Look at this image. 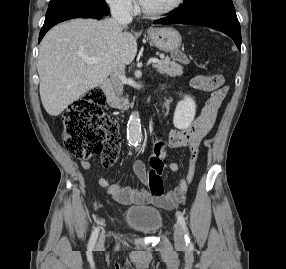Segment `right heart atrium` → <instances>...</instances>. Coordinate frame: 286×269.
Instances as JSON below:
<instances>
[{
  "mask_svg": "<svg viewBox=\"0 0 286 269\" xmlns=\"http://www.w3.org/2000/svg\"><path fill=\"white\" fill-rule=\"evenodd\" d=\"M108 6L119 13L124 15H132L136 11L135 0H105Z\"/></svg>",
  "mask_w": 286,
  "mask_h": 269,
  "instance_id": "right-heart-atrium-1",
  "label": "right heart atrium"
}]
</instances>
